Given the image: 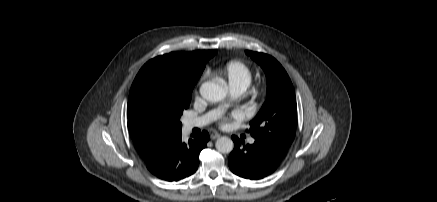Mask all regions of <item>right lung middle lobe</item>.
Returning <instances> with one entry per match:
<instances>
[{
  "label": "right lung middle lobe",
  "mask_w": 437,
  "mask_h": 202,
  "mask_svg": "<svg viewBox=\"0 0 437 202\" xmlns=\"http://www.w3.org/2000/svg\"><path fill=\"white\" fill-rule=\"evenodd\" d=\"M199 76L183 75L166 55L148 61L130 89L127 118L129 128L151 134H179L180 117L188 108Z\"/></svg>",
  "instance_id": "1"
}]
</instances>
